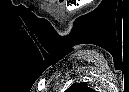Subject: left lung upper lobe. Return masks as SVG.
<instances>
[{"mask_svg": "<svg viewBox=\"0 0 129 92\" xmlns=\"http://www.w3.org/2000/svg\"><path fill=\"white\" fill-rule=\"evenodd\" d=\"M66 92H94V90L89 88L86 83L82 82L72 85Z\"/></svg>", "mask_w": 129, "mask_h": 92, "instance_id": "left-lung-upper-lobe-1", "label": "left lung upper lobe"}]
</instances>
